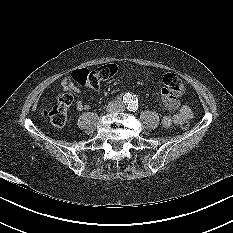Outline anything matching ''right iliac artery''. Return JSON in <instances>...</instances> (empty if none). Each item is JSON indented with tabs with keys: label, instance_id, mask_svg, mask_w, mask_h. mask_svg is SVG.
Returning <instances> with one entry per match:
<instances>
[{
	"label": "right iliac artery",
	"instance_id": "82829eb1",
	"mask_svg": "<svg viewBox=\"0 0 233 233\" xmlns=\"http://www.w3.org/2000/svg\"><path fill=\"white\" fill-rule=\"evenodd\" d=\"M123 100H125V103H130V102H129V100H130V97H129V96H126L125 99H123Z\"/></svg>",
	"mask_w": 233,
	"mask_h": 233
}]
</instances>
